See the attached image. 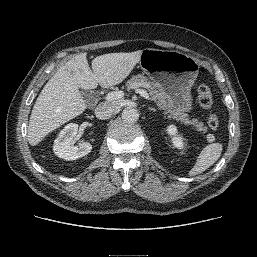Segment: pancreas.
Listing matches in <instances>:
<instances>
[{
	"label": "pancreas",
	"mask_w": 257,
	"mask_h": 257,
	"mask_svg": "<svg viewBox=\"0 0 257 257\" xmlns=\"http://www.w3.org/2000/svg\"><path fill=\"white\" fill-rule=\"evenodd\" d=\"M126 87L128 90L136 89L137 87L146 88L152 100L157 104L160 110L164 111V114L168 118H173L185 125H192L197 131L206 132L207 128L203 126L202 122H199L197 119H190L188 114L175 109L172 103L167 99L165 93L160 89L159 85L146 76L140 74L133 76L127 81Z\"/></svg>",
	"instance_id": "pancreas-1"
}]
</instances>
